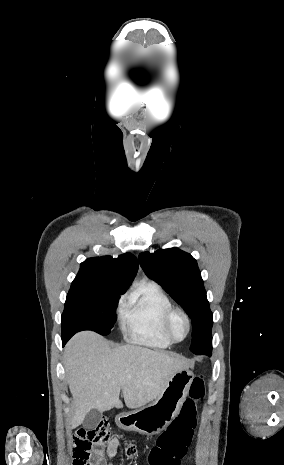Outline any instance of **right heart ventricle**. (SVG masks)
Wrapping results in <instances>:
<instances>
[{
	"instance_id": "1",
	"label": "right heart ventricle",
	"mask_w": 284,
	"mask_h": 465,
	"mask_svg": "<svg viewBox=\"0 0 284 465\" xmlns=\"http://www.w3.org/2000/svg\"><path fill=\"white\" fill-rule=\"evenodd\" d=\"M173 307L157 283L144 284L120 310L119 328L124 339L137 346H171L162 332V322Z\"/></svg>"
}]
</instances>
